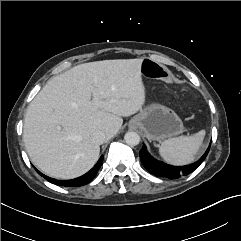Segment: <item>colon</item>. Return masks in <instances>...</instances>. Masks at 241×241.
Listing matches in <instances>:
<instances>
[{"label": "colon", "mask_w": 241, "mask_h": 241, "mask_svg": "<svg viewBox=\"0 0 241 241\" xmlns=\"http://www.w3.org/2000/svg\"><path fill=\"white\" fill-rule=\"evenodd\" d=\"M136 71L147 80H158L166 83L171 80L172 71L165 63L155 62L150 57L139 58L137 60Z\"/></svg>", "instance_id": "colon-1"}]
</instances>
